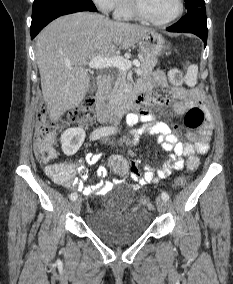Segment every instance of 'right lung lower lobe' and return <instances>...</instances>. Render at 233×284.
I'll return each instance as SVG.
<instances>
[{
	"label": "right lung lower lobe",
	"mask_w": 233,
	"mask_h": 284,
	"mask_svg": "<svg viewBox=\"0 0 233 284\" xmlns=\"http://www.w3.org/2000/svg\"><path fill=\"white\" fill-rule=\"evenodd\" d=\"M80 11H96V8H87V7H57L51 10H48L44 13H41L35 17H32V23H31V38H34L40 30L45 27L49 22L54 20L55 18L80 12Z\"/></svg>",
	"instance_id": "1"
}]
</instances>
